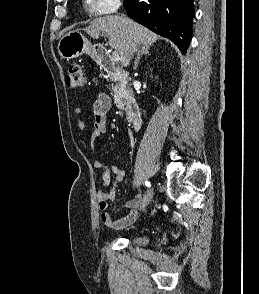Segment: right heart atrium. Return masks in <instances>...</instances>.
I'll return each mask as SVG.
<instances>
[{
    "label": "right heart atrium",
    "mask_w": 259,
    "mask_h": 294,
    "mask_svg": "<svg viewBox=\"0 0 259 294\" xmlns=\"http://www.w3.org/2000/svg\"><path fill=\"white\" fill-rule=\"evenodd\" d=\"M120 4L121 0H86L88 10L97 16L114 13Z\"/></svg>",
    "instance_id": "d8ad5b80"
}]
</instances>
